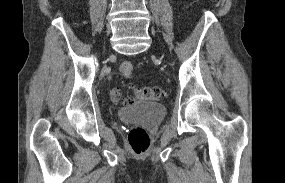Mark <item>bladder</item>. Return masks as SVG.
<instances>
[{"label":"bladder","instance_id":"31cf9c89","mask_svg":"<svg viewBox=\"0 0 285 183\" xmlns=\"http://www.w3.org/2000/svg\"><path fill=\"white\" fill-rule=\"evenodd\" d=\"M163 105L155 102H141L120 108L118 116L121 119H135L148 128H154L165 117Z\"/></svg>","mask_w":285,"mask_h":183}]
</instances>
